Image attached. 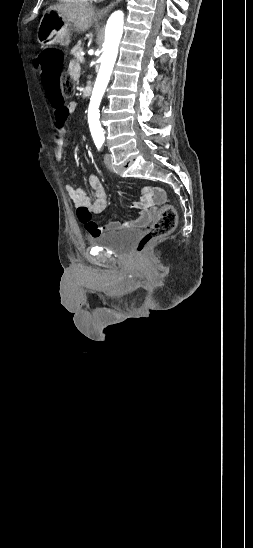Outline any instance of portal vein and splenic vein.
I'll list each match as a JSON object with an SVG mask.
<instances>
[{"mask_svg": "<svg viewBox=\"0 0 253 548\" xmlns=\"http://www.w3.org/2000/svg\"><path fill=\"white\" fill-rule=\"evenodd\" d=\"M80 62H84V57H81V58H80Z\"/></svg>", "mask_w": 253, "mask_h": 548, "instance_id": "obj_1", "label": "portal vein and splenic vein"}]
</instances>
